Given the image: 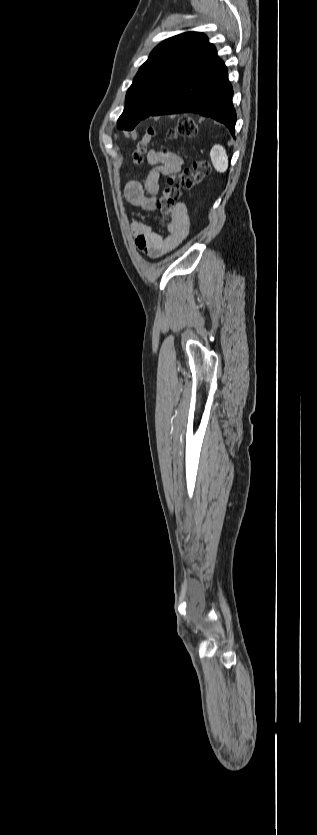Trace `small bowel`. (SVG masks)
I'll list each match as a JSON object with an SVG mask.
<instances>
[{"label": "small bowel", "mask_w": 317, "mask_h": 835, "mask_svg": "<svg viewBox=\"0 0 317 835\" xmlns=\"http://www.w3.org/2000/svg\"><path fill=\"white\" fill-rule=\"evenodd\" d=\"M151 170L144 183L129 180L123 188V195L133 206L144 211H154L157 196L161 188V179L177 175L183 166V159L176 154L163 155L156 150L147 154ZM130 229L137 248L151 258L160 257L175 249L187 236L189 229L188 215L184 205L176 208L165 234L154 231L143 222L133 221Z\"/></svg>", "instance_id": "small-bowel-1"}]
</instances>
